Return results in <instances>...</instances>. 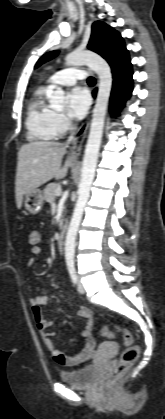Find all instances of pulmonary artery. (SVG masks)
I'll return each instance as SVG.
<instances>
[{
  "label": "pulmonary artery",
  "mask_w": 165,
  "mask_h": 419,
  "mask_svg": "<svg viewBox=\"0 0 165 419\" xmlns=\"http://www.w3.org/2000/svg\"><path fill=\"white\" fill-rule=\"evenodd\" d=\"M86 72L80 68H68L53 74L48 79V84L52 86H70L78 80H84Z\"/></svg>",
  "instance_id": "obj_1"
}]
</instances>
